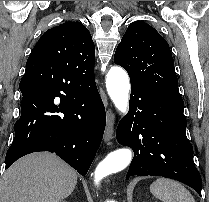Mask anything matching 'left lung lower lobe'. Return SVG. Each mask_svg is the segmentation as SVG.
Here are the masks:
<instances>
[{
    "label": "left lung lower lobe",
    "mask_w": 209,
    "mask_h": 202,
    "mask_svg": "<svg viewBox=\"0 0 209 202\" xmlns=\"http://www.w3.org/2000/svg\"><path fill=\"white\" fill-rule=\"evenodd\" d=\"M182 98L131 84L130 109L117 128V140L130 146L134 158L126 179L163 176L192 187L201 195L202 181L186 137Z\"/></svg>",
    "instance_id": "0a47b994"
}]
</instances>
